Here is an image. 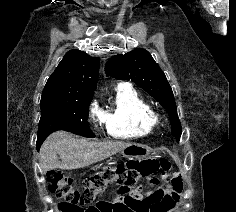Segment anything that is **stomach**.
I'll list each match as a JSON object with an SVG mask.
<instances>
[{"instance_id": "obj_1", "label": "stomach", "mask_w": 236, "mask_h": 212, "mask_svg": "<svg viewBox=\"0 0 236 212\" xmlns=\"http://www.w3.org/2000/svg\"><path fill=\"white\" fill-rule=\"evenodd\" d=\"M121 153L123 157L128 159H140L147 157L150 153V149L141 144H131L128 147L124 148ZM109 163H113L111 162V159Z\"/></svg>"}]
</instances>
